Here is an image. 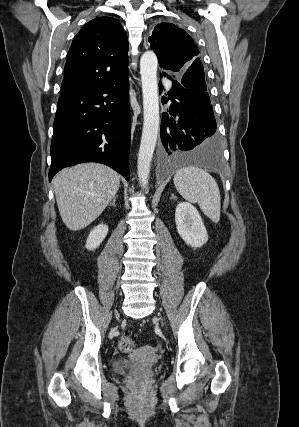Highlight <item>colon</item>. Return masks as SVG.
Returning a JSON list of instances; mask_svg holds the SVG:
<instances>
[{
  "label": "colon",
  "mask_w": 299,
  "mask_h": 427,
  "mask_svg": "<svg viewBox=\"0 0 299 427\" xmlns=\"http://www.w3.org/2000/svg\"><path fill=\"white\" fill-rule=\"evenodd\" d=\"M118 345L119 349L124 353L132 352L135 348L134 341L128 336L122 337Z\"/></svg>",
  "instance_id": "obj_1"
}]
</instances>
